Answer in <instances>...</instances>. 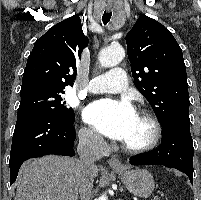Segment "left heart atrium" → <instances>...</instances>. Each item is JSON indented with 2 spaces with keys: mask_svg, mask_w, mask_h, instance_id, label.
<instances>
[{
  "mask_svg": "<svg viewBox=\"0 0 201 200\" xmlns=\"http://www.w3.org/2000/svg\"><path fill=\"white\" fill-rule=\"evenodd\" d=\"M127 101L100 100L92 103L84 112V119L103 135L124 141L136 117Z\"/></svg>",
  "mask_w": 201,
  "mask_h": 200,
  "instance_id": "1",
  "label": "left heart atrium"
}]
</instances>
